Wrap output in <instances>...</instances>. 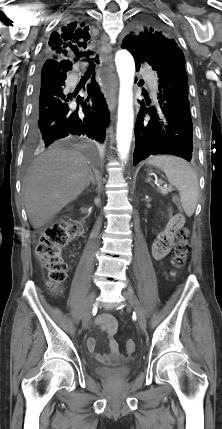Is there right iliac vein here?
<instances>
[{"mask_svg": "<svg viewBox=\"0 0 222 429\" xmlns=\"http://www.w3.org/2000/svg\"><path fill=\"white\" fill-rule=\"evenodd\" d=\"M95 297H96L95 292H92L87 299L86 307L82 316V328L84 330L87 329L88 327L90 317H91V311L95 302Z\"/></svg>", "mask_w": 222, "mask_h": 429, "instance_id": "63e3f726", "label": "right iliac vein"}]
</instances>
